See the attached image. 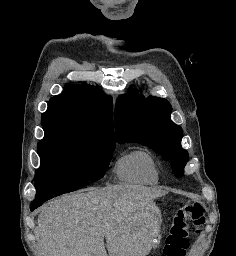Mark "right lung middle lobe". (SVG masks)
<instances>
[{"label": "right lung middle lobe", "instance_id": "1", "mask_svg": "<svg viewBox=\"0 0 236 256\" xmlns=\"http://www.w3.org/2000/svg\"><path fill=\"white\" fill-rule=\"evenodd\" d=\"M44 131L38 143L41 166L35 172L34 202L75 191L104 176L115 140L67 129Z\"/></svg>", "mask_w": 236, "mask_h": 256}]
</instances>
